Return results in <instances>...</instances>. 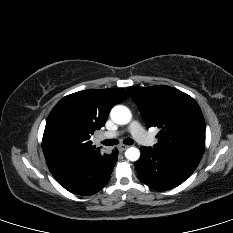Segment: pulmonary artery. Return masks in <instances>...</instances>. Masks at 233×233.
<instances>
[{"label": "pulmonary artery", "mask_w": 233, "mask_h": 233, "mask_svg": "<svg viewBox=\"0 0 233 233\" xmlns=\"http://www.w3.org/2000/svg\"><path fill=\"white\" fill-rule=\"evenodd\" d=\"M128 130L135 137V139L144 145H153L154 140L143 130L141 125L137 121H133ZM119 135V132H105L101 137L110 139Z\"/></svg>", "instance_id": "obj_1"}]
</instances>
